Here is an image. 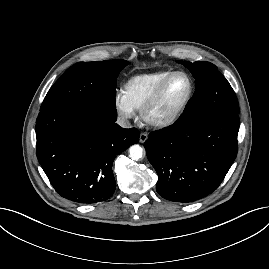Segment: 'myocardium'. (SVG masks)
Listing matches in <instances>:
<instances>
[{
    "label": "myocardium",
    "mask_w": 269,
    "mask_h": 269,
    "mask_svg": "<svg viewBox=\"0 0 269 269\" xmlns=\"http://www.w3.org/2000/svg\"><path fill=\"white\" fill-rule=\"evenodd\" d=\"M178 75L185 76L189 82V89H188V93L185 99L173 111L163 116L153 117L151 113L154 110V108L157 106V104L159 103L166 86L175 76H178ZM193 93H194V83L190 75L184 71L172 72L158 85V87L155 89V91L153 92L149 100L145 103V105L140 110V115H141L142 120L148 125L152 127H156V128L167 127L175 123L180 118V116L183 114L188 104L190 103L193 97Z\"/></svg>",
    "instance_id": "obj_1"
}]
</instances>
